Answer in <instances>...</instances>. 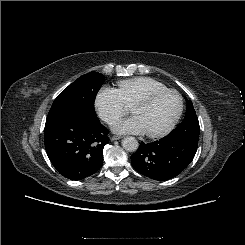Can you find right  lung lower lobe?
<instances>
[{
  "label": "right lung lower lobe",
  "mask_w": 245,
  "mask_h": 245,
  "mask_svg": "<svg viewBox=\"0 0 245 245\" xmlns=\"http://www.w3.org/2000/svg\"><path fill=\"white\" fill-rule=\"evenodd\" d=\"M107 134L108 129L99 121L78 115L52 116L46 119L45 149L60 174L81 180L101 168L103 148L109 142Z\"/></svg>",
  "instance_id": "1"
}]
</instances>
